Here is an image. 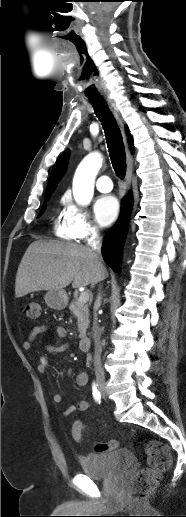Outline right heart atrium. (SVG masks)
Instances as JSON below:
<instances>
[{"mask_svg": "<svg viewBox=\"0 0 186 517\" xmlns=\"http://www.w3.org/2000/svg\"><path fill=\"white\" fill-rule=\"evenodd\" d=\"M62 204L63 221L74 239L86 242L99 235L98 226L84 208L75 204L68 196L63 197Z\"/></svg>", "mask_w": 186, "mask_h": 517, "instance_id": "right-heart-atrium-1", "label": "right heart atrium"}]
</instances>
